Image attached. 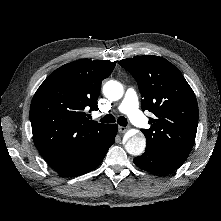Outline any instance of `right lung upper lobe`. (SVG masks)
Masks as SVG:
<instances>
[{"label": "right lung upper lobe", "mask_w": 221, "mask_h": 221, "mask_svg": "<svg viewBox=\"0 0 221 221\" xmlns=\"http://www.w3.org/2000/svg\"><path fill=\"white\" fill-rule=\"evenodd\" d=\"M115 65L77 60L56 69L36 91L30 108L33 141L52 168L93 152L105 139L109 125L88 120L86 112L98 109L101 82Z\"/></svg>", "instance_id": "cb5924a9"}]
</instances>
